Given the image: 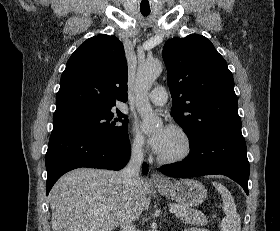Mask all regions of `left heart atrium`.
<instances>
[{
  "instance_id": "1",
  "label": "left heart atrium",
  "mask_w": 280,
  "mask_h": 231,
  "mask_svg": "<svg viewBox=\"0 0 280 231\" xmlns=\"http://www.w3.org/2000/svg\"><path fill=\"white\" fill-rule=\"evenodd\" d=\"M173 136V129L164 125L149 137V144L157 154H162Z\"/></svg>"
}]
</instances>
